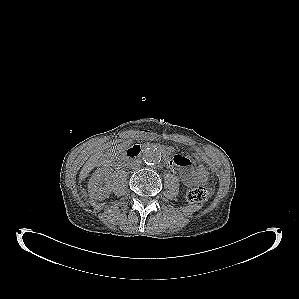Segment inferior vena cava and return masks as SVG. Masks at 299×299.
I'll use <instances>...</instances> for the list:
<instances>
[{
	"mask_svg": "<svg viewBox=\"0 0 299 299\" xmlns=\"http://www.w3.org/2000/svg\"><path fill=\"white\" fill-rule=\"evenodd\" d=\"M140 166V161L134 160L131 162V168L132 169H137Z\"/></svg>",
	"mask_w": 299,
	"mask_h": 299,
	"instance_id": "obj_1",
	"label": "inferior vena cava"
}]
</instances>
